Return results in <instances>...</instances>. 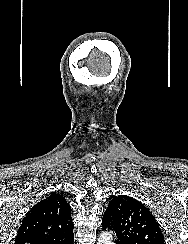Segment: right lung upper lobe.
Listing matches in <instances>:
<instances>
[{"mask_svg": "<svg viewBox=\"0 0 188 244\" xmlns=\"http://www.w3.org/2000/svg\"><path fill=\"white\" fill-rule=\"evenodd\" d=\"M71 206L60 194L38 202L26 214L15 244H63L73 236Z\"/></svg>", "mask_w": 188, "mask_h": 244, "instance_id": "obj_1", "label": "right lung upper lobe"}]
</instances>
